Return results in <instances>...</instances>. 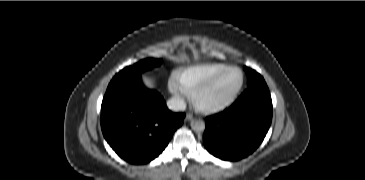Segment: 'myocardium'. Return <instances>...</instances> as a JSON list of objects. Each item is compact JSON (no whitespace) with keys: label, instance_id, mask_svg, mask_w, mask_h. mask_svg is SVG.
<instances>
[{"label":"myocardium","instance_id":"1","mask_svg":"<svg viewBox=\"0 0 365 180\" xmlns=\"http://www.w3.org/2000/svg\"><path fill=\"white\" fill-rule=\"evenodd\" d=\"M229 70H237L241 74V82H240L237 90L235 91V93L231 96V98L228 99L227 101L217 104V105H212V106H207V107L200 105L198 103V96L202 92H204L206 89H208L210 86H212L214 84V82L221 75H223L225 72H227ZM245 80H246L245 73L240 67L235 66V65L227 66L224 69L215 73L207 81H205L203 84H201L199 87H197L191 94V101H192L193 105L195 106V108L202 113L212 114V113L221 112V111L231 107L237 101V99L240 96V94L243 90V87L245 85Z\"/></svg>","mask_w":365,"mask_h":180}]
</instances>
